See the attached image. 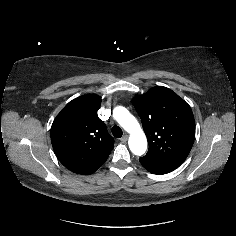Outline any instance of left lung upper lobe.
I'll list each match as a JSON object with an SVG mask.
<instances>
[{"label":"left lung upper lobe","mask_w":236,"mask_h":236,"mask_svg":"<svg viewBox=\"0 0 236 236\" xmlns=\"http://www.w3.org/2000/svg\"><path fill=\"white\" fill-rule=\"evenodd\" d=\"M149 143L140 162L154 168L176 169L187 158L194 139L195 121L190 106L171 89L157 86L135 97Z\"/></svg>","instance_id":"left-lung-upper-lobe-1"}]
</instances>
